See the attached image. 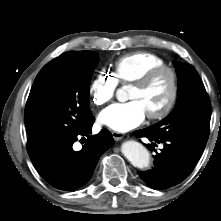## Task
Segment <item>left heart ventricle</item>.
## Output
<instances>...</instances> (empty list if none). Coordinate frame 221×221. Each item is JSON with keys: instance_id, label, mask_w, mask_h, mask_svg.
I'll list each match as a JSON object with an SVG mask.
<instances>
[{"instance_id": "1", "label": "left heart ventricle", "mask_w": 221, "mask_h": 221, "mask_svg": "<svg viewBox=\"0 0 221 221\" xmlns=\"http://www.w3.org/2000/svg\"><path fill=\"white\" fill-rule=\"evenodd\" d=\"M170 93V77L167 74H163L146 88L132 86L129 92V99L140 101L146 114H149L160 111L167 103Z\"/></svg>"}]
</instances>
